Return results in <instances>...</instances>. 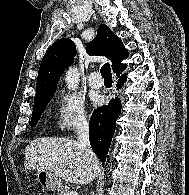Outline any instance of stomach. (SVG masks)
Segmentation results:
<instances>
[{
  "label": "stomach",
  "instance_id": "obj_1",
  "mask_svg": "<svg viewBox=\"0 0 189 195\" xmlns=\"http://www.w3.org/2000/svg\"><path fill=\"white\" fill-rule=\"evenodd\" d=\"M36 180L45 190L49 191L56 190L61 186L59 177L48 170H38Z\"/></svg>",
  "mask_w": 189,
  "mask_h": 195
}]
</instances>
